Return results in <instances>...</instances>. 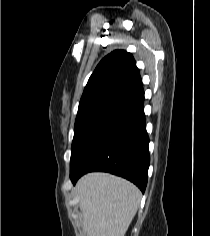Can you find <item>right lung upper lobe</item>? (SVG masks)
Segmentation results:
<instances>
[{
    "instance_id": "1",
    "label": "right lung upper lobe",
    "mask_w": 210,
    "mask_h": 236,
    "mask_svg": "<svg viewBox=\"0 0 210 236\" xmlns=\"http://www.w3.org/2000/svg\"><path fill=\"white\" fill-rule=\"evenodd\" d=\"M141 86L139 70L131 53L116 50L100 61L88 80L80 104L117 89L133 92Z\"/></svg>"
}]
</instances>
